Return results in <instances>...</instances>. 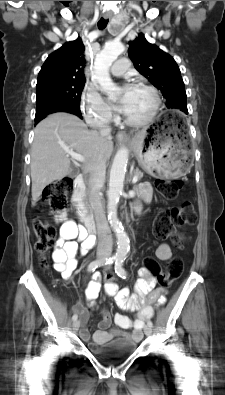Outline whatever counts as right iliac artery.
I'll use <instances>...</instances> for the list:
<instances>
[{
  "label": "right iliac artery",
  "mask_w": 225,
  "mask_h": 395,
  "mask_svg": "<svg viewBox=\"0 0 225 395\" xmlns=\"http://www.w3.org/2000/svg\"><path fill=\"white\" fill-rule=\"evenodd\" d=\"M116 259H117V257H116V256H113V257H111V258L106 259V261H103V262L97 261V260L92 261V262L88 265V271H89V272H94V271H95L98 267H100L101 265H103V264H105V265H106V264H112ZM77 318H78L77 314H74V315L72 316V320H73V321L77 320Z\"/></svg>",
  "instance_id": "obj_1"
}]
</instances>
